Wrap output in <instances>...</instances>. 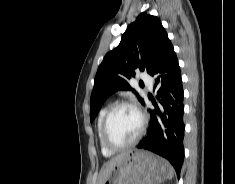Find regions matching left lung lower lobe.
Returning <instances> with one entry per match:
<instances>
[{
  "label": "left lung lower lobe",
  "instance_id": "0a47b994",
  "mask_svg": "<svg viewBox=\"0 0 235 184\" xmlns=\"http://www.w3.org/2000/svg\"><path fill=\"white\" fill-rule=\"evenodd\" d=\"M149 74L155 79L158 102L149 110L150 127L138 148L166 158L179 173L184 161L183 88L178 59L168 38L159 46Z\"/></svg>",
  "mask_w": 235,
  "mask_h": 184
}]
</instances>
